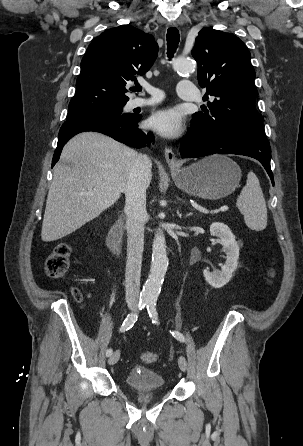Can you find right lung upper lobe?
Listing matches in <instances>:
<instances>
[{"label":"right lung upper lobe","instance_id":"obj_1","mask_svg":"<svg viewBox=\"0 0 303 446\" xmlns=\"http://www.w3.org/2000/svg\"><path fill=\"white\" fill-rule=\"evenodd\" d=\"M158 45L153 36L131 25L106 30L89 45L82 61L76 93L69 108L91 111L126 104V84L153 65Z\"/></svg>","mask_w":303,"mask_h":446}]
</instances>
